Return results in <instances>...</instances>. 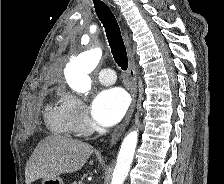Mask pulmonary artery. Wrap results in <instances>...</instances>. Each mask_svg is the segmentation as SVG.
Returning a JSON list of instances; mask_svg holds the SVG:
<instances>
[{
    "label": "pulmonary artery",
    "mask_w": 224,
    "mask_h": 184,
    "mask_svg": "<svg viewBox=\"0 0 224 184\" xmlns=\"http://www.w3.org/2000/svg\"><path fill=\"white\" fill-rule=\"evenodd\" d=\"M98 80L103 85H111L116 81V74L112 69H102L98 73Z\"/></svg>",
    "instance_id": "obj_1"
}]
</instances>
